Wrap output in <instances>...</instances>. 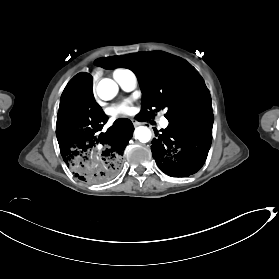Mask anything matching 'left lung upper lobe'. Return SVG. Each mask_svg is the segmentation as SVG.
<instances>
[{
  "mask_svg": "<svg viewBox=\"0 0 279 279\" xmlns=\"http://www.w3.org/2000/svg\"><path fill=\"white\" fill-rule=\"evenodd\" d=\"M95 65L105 69L132 70L143 92L140 114L150 118L166 109L169 122L213 115L211 97L204 81L184 60L163 52H139L100 58Z\"/></svg>",
  "mask_w": 279,
  "mask_h": 279,
  "instance_id": "1",
  "label": "left lung upper lobe"
}]
</instances>
